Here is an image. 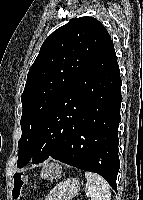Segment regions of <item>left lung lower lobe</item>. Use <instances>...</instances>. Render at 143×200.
Masks as SVG:
<instances>
[{"label":"left lung lower lobe","instance_id":"1","mask_svg":"<svg viewBox=\"0 0 143 200\" xmlns=\"http://www.w3.org/2000/svg\"><path fill=\"white\" fill-rule=\"evenodd\" d=\"M121 84L111 41L47 114L38 133L32 163L52 157L100 174L117 190ZM65 109L67 111L58 119L57 115Z\"/></svg>","mask_w":143,"mask_h":200}]
</instances>
